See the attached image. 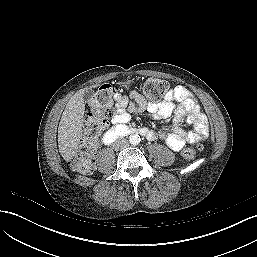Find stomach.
I'll return each mask as SVG.
<instances>
[{"instance_id":"0dacf381","label":"stomach","mask_w":257,"mask_h":257,"mask_svg":"<svg viewBox=\"0 0 257 257\" xmlns=\"http://www.w3.org/2000/svg\"><path fill=\"white\" fill-rule=\"evenodd\" d=\"M131 85H132V80H125V81L123 82V86H124L125 88H129Z\"/></svg>"}]
</instances>
